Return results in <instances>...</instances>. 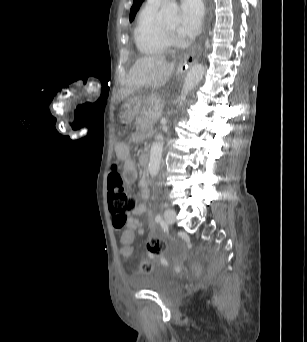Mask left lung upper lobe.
I'll use <instances>...</instances> for the list:
<instances>
[{
	"label": "left lung upper lobe",
	"instance_id": "5c2ea615",
	"mask_svg": "<svg viewBox=\"0 0 307 342\" xmlns=\"http://www.w3.org/2000/svg\"><path fill=\"white\" fill-rule=\"evenodd\" d=\"M144 0H134L133 5L130 10V22H132L135 18L137 11L139 10L140 5Z\"/></svg>",
	"mask_w": 307,
	"mask_h": 342
}]
</instances>
